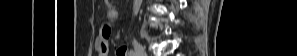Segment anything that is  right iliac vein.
Segmentation results:
<instances>
[{"mask_svg":"<svg viewBox=\"0 0 297 56\" xmlns=\"http://www.w3.org/2000/svg\"><path fill=\"white\" fill-rule=\"evenodd\" d=\"M133 45L138 56H147L144 47L139 42L134 41Z\"/></svg>","mask_w":297,"mask_h":56,"instance_id":"1","label":"right iliac vein"}]
</instances>
